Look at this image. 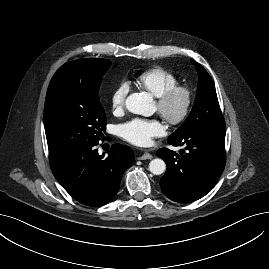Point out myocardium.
<instances>
[{
	"mask_svg": "<svg viewBox=\"0 0 269 269\" xmlns=\"http://www.w3.org/2000/svg\"><path fill=\"white\" fill-rule=\"evenodd\" d=\"M176 97L182 98V104L179 110L173 111L171 105ZM192 103V91L187 86L182 85L171 87L156 97L159 114L172 126L180 125L188 118Z\"/></svg>",
	"mask_w": 269,
	"mask_h": 269,
	"instance_id": "myocardium-1",
	"label": "myocardium"
}]
</instances>
